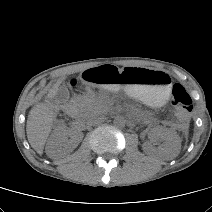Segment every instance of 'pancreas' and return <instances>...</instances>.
Segmentation results:
<instances>
[{"label": "pancreas", "mask_w": 212, "mask_h": 212, "mask_svg": "<svg viewBox=\"0 0 212 212\" xmlns=\"http://www.w3.org/2000/svg\"><path fill=\"white\" fill-rule=\"evenodd\" d=\"M74 102L82 111H95L104 107V101L99 97L79 95L74 99Z\"/></svg>", "instance_id": "pancreas-1"}]
</instances>
